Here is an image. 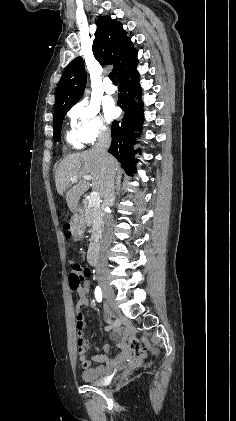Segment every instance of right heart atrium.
<instances>
[{"label":"right heart atrium","mask_w":236,"mask_h":421,"mask_svg":"<svg viewBox=\"0 0 236 421\" xmlns=\"http://www.w3.org/2000/svg\"><path fill=\"white\" fill-rule=\"evenodd\" d=\"M69 117L73 131L83 143L93 144L110 133L105 116L93 102L80 101L71 109Z\"/></svg>","instance_id":"obj_1"}]
</instances>
